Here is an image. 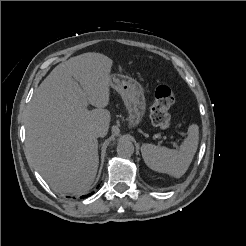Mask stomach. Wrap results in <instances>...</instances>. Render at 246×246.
Returning <instances> with one entry per match:
<instances>
[{"label":"stomach","mask_w":246,"mask_h":246,"mask_svg":"<svg viewBox=\"0 0 246 246\" xmlns=\"http://www.w3.org/2000/svg\"><path fill=\"white\" fill-rule=\"evenodd\" d=\"M111 87L122 97L129 113L131 126L138 125L145 113L146 101L142 86L133 78L125 75H111Z\"/></svg>","instance_id":"1"}]
</instances>
